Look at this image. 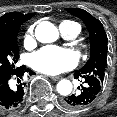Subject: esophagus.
<instances>
[{"label": "esophagus", "mask_w": 117, "mask_h": 117, "mask_svg": "<svg viewBox=\"0 0 117 117\" xmlns=\"http://www.w3.org/2000/svg\"><path fill=\"white\" fill-rule=\"evenodd\" d=\"M50 78H51L52 80H54V81H57V80H60V79H61L60 76H51Z\"/></svg>", "instance_id": "obj_1"}]
</instances>
